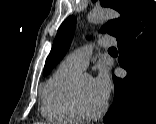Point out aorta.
Segmentation results:
<instances>
[{
  "label": "aorta",
  "mask_w": 156,
  "mask_h": 124,
  "mask_svg": "<svg viewBox=\"0 0 156 124\" xmlns=\"http://www.w3.org/2000/svg\"><path fill=\"white\" fill-rule=\"evenodd\" d=\"M120 14L109 8L93 9L87 16L90 23L97 24L108 20L119 18Z\"/></svg>",
  "instance_id": "1"
}]
</instances>
